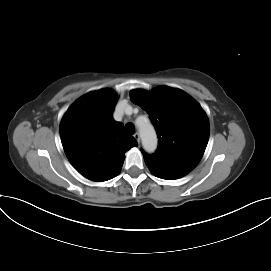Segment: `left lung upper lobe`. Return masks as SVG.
<instances>
[{
    "instance_id": "obj_1",
    "label": "left lung upper lobe",
    "mask_w": 271,
    "mask_h": 271,
    "mask_svg": "<svg viewBox=\"0 0 271 271\" xmlns=\"http://www.w3.org/2000/svg\"><path fill=\"white\" fill-rule=\"evenodd\" d=\"M131 100L142 107L158 134V149L144 159L190 172L199 163L209 138V121L201 106L180 89L161 86L135 89Z\"/></svg>"
}]
</instances>
